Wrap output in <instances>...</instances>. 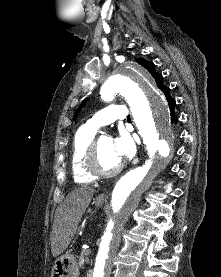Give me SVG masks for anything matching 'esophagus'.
<instances>
[{"instance_id":"34e87169","label":"esophagus","mask_w":221,"mask_h":277,"mask_svg":"<svg viewBox=\"0 0 221 277\" xmlns=\"http://www.w3.org/2000/svg\"><path fill=\"white\" fill-rule=\"evenodd\" d=\"M107 195L105 193H101L99 196H98V199L100 200H104L106 199Z\"/></svg>"}]
</instances>
